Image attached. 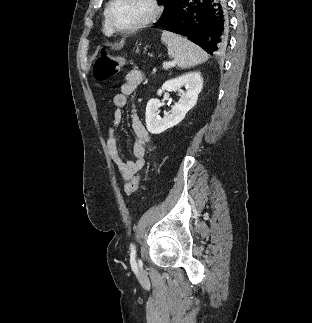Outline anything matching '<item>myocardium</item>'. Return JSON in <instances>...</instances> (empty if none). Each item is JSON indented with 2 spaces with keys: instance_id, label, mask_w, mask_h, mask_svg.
<instances>
[{
  "instance_id": "obj_1",
  "label": "myocardium",
  "mask_w": 312,
  "mask_h": 323,
  "mask_svg": "<svg viewBox=\"0 0 312 323\" xmlns=\"http://www.w3.org/2000/svg\"><path fill=\"white\" fill-rule=\"evenodd\" d=\"M161 0H146L150 4L151 10L148 11L146 18L139 20H119L117 14L119 8H125L128 4H142L144 0H112L108 3L107 10H104L103 15L110 26L111 31H143V25H149L150 21H160L162 16V8L164 5L158 3Z\"/></svg>"
}]
</instances>
